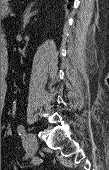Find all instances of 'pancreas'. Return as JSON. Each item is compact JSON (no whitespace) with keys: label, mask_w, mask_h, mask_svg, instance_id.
I'll return each mask as SVG.
<instances>
[{"label":"pancreas","mask_w":109,"mask_h":170,"mask_svg":"<svg viewBox=\"0 0 109 170\" xmlns=\"http://www.w3.org/2000/svg\"><path fill=\"white\" fill-rule=\"evenodd\" d=\"M11 12L10 8L5 5L1 8V18H5Z\"/></svg>","instance_id":"pancreas-1"}]
</instances>
